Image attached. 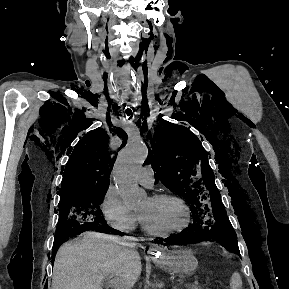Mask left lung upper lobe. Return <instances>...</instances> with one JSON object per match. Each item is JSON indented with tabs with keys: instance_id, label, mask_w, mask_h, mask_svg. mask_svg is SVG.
Wrapping results in <instances>:
<instances>
[{
	"instance_id": "obj_1",
	"label": "left lung upper lobe",
	"mask_w": 289,
	"mask_h": 289,
	"mask_svg": "<svg viewBox=\"0 0 289 289\" xmlns=\"http://www.w3.org/2000/svg\"><path fill=\"white\" fill-rule=\"evenodd\" d=\"M151 139L148 164L155 179L184 197L191 206L192 225L213 229L215 241L240 255L237 237L215 185L214 173L199 139L187 128L160 121Z\"/></svg>"
}]
</instances>
